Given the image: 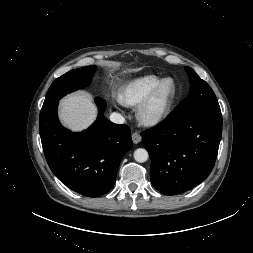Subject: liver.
Returning a JSON list of instances; mask_svg holds the SVG:
<instances>
[{
  "mask_svg": "<svg viewBox=\"0 0 253 253\" xmlns=\"http://www.w3.org/2000/svg\"><path fill=\"white\" fill-rule=\"evenodd\" d=\"M96 114L92 98L86 93L68 95L60 102L61 122L72 131L87 129L95 121Z\"/></svg>",
  "mask_w": 253,
  "mask_h": 253,
  "instance_id": "liver-1",
  "label": "liver"
}]
</instances>
